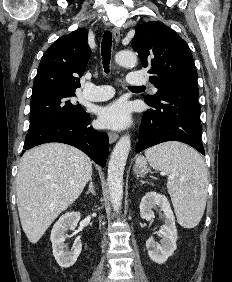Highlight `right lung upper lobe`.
<instances>
[{"instance_id":"obj_1","label":"right lung upper lobe","mask_w":232,"mask_h":282,"mask_svg":"<svg viewBox=\"0 0 232 282\" xmlns=\"http://www.w3.org/2000/svg\"><path fill=\"white\" fill-rule=\"evenodd\" d=\"M87 38L88 31L78 29L54 42L40 61L33 91L43 89L75 91L80 87L76 76L83 74L91 55Z\"/></svg>"}]
</instances>
